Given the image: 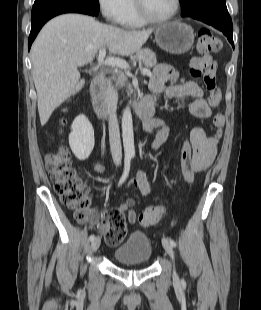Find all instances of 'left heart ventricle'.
Here are the masks:
<instances>
[{
  "instance_id": "left-heart-ventricle-1",
  "label": "left heart ventricle",
  "mask_w": 261,
  "mask_h": 310,
  "mask_svg": "<svg viewBox=\"0 0 261 310\" xmlns=\"http://www.w3.org/2000/svg\"><path fill=\"white\" fill-rule=\"evenodd\" d=\"M144 6L154 18H162L169 15L175 6V0H143Z\"/></svg>"
}]
</instances>
